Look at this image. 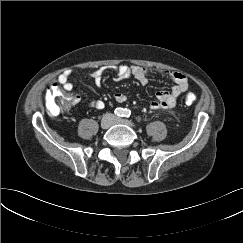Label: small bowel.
Segmentation results:
<instances>
[{"mask_svg":"<svg viewBox=\"0 0 243 243\" xmlns=\"http://www.w3.org/2000/svg\"><path fill=\"white\" fill-rule=\"evenodd\" d=\"M110 69L114 72L116 80H124L132 77L139 81L142 85H146L149 82L150 75L155 72L153 69L140 66H128L125 64L113 66ZM103 73L104 69L100 68L91 72L89 76L93 79L94 83L99 86L103 80ZM159 73L171 80L174 85L170 91L157 92L156 99L151 102L150 108L152 110H168L173 108L180 95L187 91L188 79L184 74L177 71H159ZM70 75L71 73L66 71L59 76L56 82L66 91H71L73 89V84L70 81ZM80 99L79 95H73L72 105L77 104ZM114 99L117 102L122 103L127 100V96L124 93L118 92L114 95ZM89 106L100 110L104 108L105 103L103 100L97 99L91 101Z\"/></svg>","mask_w":243,"mask_h":243,"instance_id":"obj_1","label":"small bowel"}]
</instances>
